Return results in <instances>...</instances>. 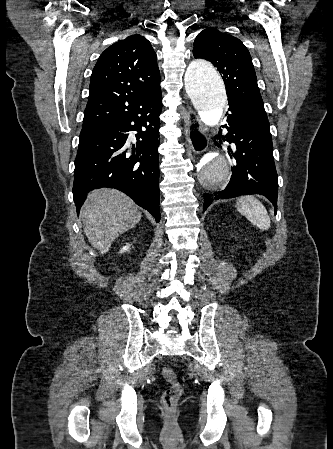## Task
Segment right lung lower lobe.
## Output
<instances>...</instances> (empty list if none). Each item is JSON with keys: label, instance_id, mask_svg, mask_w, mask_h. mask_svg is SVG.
I'll return each mask as SVG.
<instances>
[{"label": "right lung lower lobe", "instance_id": "98d812e1", "mask_svg": "<svg viewBox=\"0 0 333 449\" xmlns=\"http://www.w3.org/2000/svg\"><path fill=\"white\" fill-rule=\"evenodd\" d=\"M161 95L105 124L85 128L75 159L73 197L77 212L86 193L100 187L116 188L160 221L159 115ZM142 127L146 130H142ZM137 131V142L128 132Z\"/></svg>", "mask_w": 333, "mask_h": 449}]
</instances>
